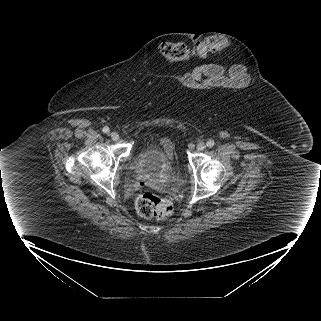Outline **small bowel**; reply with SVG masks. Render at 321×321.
Masks as SVG:
<instances>
[{
	"instance_id": "1",
	"label": "small bowel",
	"mask_w": 321,
	"mask_h": 321,
	"mask_svg": "<svg viewBox=\"0 0 321 321\" xmlns=\"http://www.w3.org/2000/svg\"><path fill=\"white\" fill-rule=\"evenodd\" d=\"M185 86L193 90L199 88L213 89L216 86H226L233 88L250 87L254 83V78L246 74L241 66L225 67L222 64H205L195 68L192 72L182 77ZM166 149L170 150L169 141H164Z\"/></svg>"
}]
</instances>
